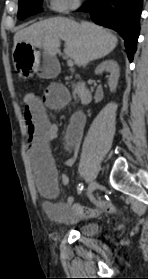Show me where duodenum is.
Segmentation results:
<instances>
[{
	"label": "duodenum",
	"instance_id": "duodenum-1",
	"mask_svg": "<svg viewBox=\"0 0 148 279\" xmlns=\"http://www.w3.org/2000/svg\"><path fill=\"white\" fill-rule=\"evenodd\" d=\"M79 98H80L81 104H83V105L89 104L91 102V100H92L91 89L83 81L80 83V87H79Z\"/></svg>",
	"mask_w": 148,
	"mask_h": 279
}]
</instances>
